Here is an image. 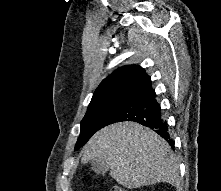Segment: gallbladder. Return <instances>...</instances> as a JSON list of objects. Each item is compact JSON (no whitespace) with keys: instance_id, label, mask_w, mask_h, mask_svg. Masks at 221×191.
I'll use <instances>...</instances> for the list:
<instances>
[{"instance_id":"gallbladder-1","label":"gallbladder","mask_w":221,"mask_h":191,"mask_svg":"<svg viewBox=\"0 0 221 191\" xmlns=\"http://www.w3.org/2000/svg\"><path fill=\"white\" fill-rule=\"evenodd\" d=\"M91 170L96 174L105 175L108 172L109 167L104 160H101L99 158H94L91 161Z\"/></svg>"}]
</instances>
